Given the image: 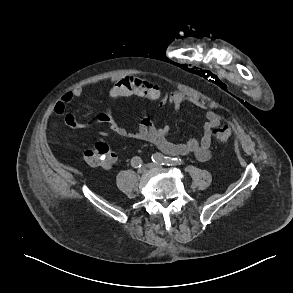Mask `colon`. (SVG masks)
Returning a JSON list of instances; mask_svg holds the SVG:
<instances>
[{"label": "colon", "instance_id": "5ec220e1", "mask_svg": "<svg viewBox=\"0 0 293 293\" xmlns=\"http://www.w3.org/2000/svg\"><path fill=\"white\" fill-rule=\"evenodd\" d=\"M141 96L146 99H153L154 93L143 91ZM231 135V130L227 125H218L213 128V136L219 143L228 141ZM115 158V154L110 150L107 144L103 142H97L91 148L86 150L83 154V160L91 166H97L106 168L108 167Z\"/></svg>", "mask_w": 293, "mask_h": 293}]
</instances>
